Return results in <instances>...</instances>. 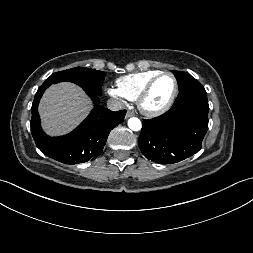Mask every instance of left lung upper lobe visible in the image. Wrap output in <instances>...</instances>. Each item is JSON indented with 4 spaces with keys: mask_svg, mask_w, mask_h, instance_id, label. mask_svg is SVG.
I'll return each instance as SVG.
<instances>
[{
    "mask_svg": "<svg viewBox=\"0 0 253 253\" xmlns=\"http://www.w3.org/2000/svg\"><path fill=\"white\" fill-rule=\"evenodd\" d=\"M174 76L177 79L179 90L188 88L192 83L197 81L189 73L182 71H173Z\"/></svg>",
    "mask_w": 253,
    "mask_h": 253,
    "instance_id": "1",
    "label": "left lung upper lobe"
}]
</instances>
